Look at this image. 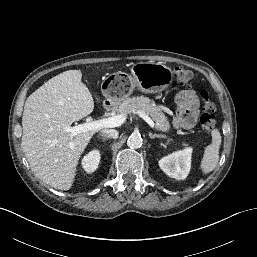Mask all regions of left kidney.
Returning a JSON list of instances; mask_svg holds the SVG:
<instances>
[{
    "mask_svg": "<svg viewBox=\"0 0 257 257\" xmlns=\"http://www.w3.org/2000/svg\"><path fill=\"white\" fill-rule=\"evenodd\" d=\"M191 153L192 148L190 147L178 152H174L168 156L163 157L159 161V167L171 178L183 180L190 172Z\"/></svg>",
    "mask_w": 257,
    "mask_h": 257,
    "instance_id": "left-kidney-1",
    "label": "left kidney"
}]
</instances>
